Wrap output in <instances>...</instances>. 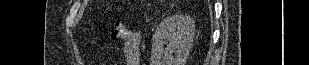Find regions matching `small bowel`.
Wrapping results in <instances>:
<instances>
[{
    "label": "small bowel",
    "mask_w": 309,
    "mask_h": 65,
    "mask_svg": "<svg viewBox=\"0 0 309 65\" xmlns=\"http://www.w3.org/2000/svg\"><path fill=\"white\" fill-rule=\"evenodd\" d=\"M141 34L139 32H128L122 45V52L126 65H139L140 55L139 47Z\"/></svg>",
    "instance_id": "obj_1"
}]
</instances>
